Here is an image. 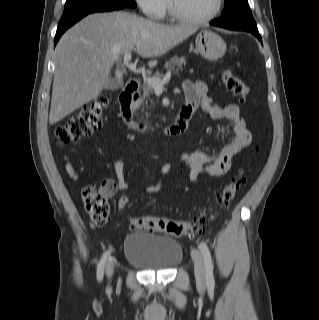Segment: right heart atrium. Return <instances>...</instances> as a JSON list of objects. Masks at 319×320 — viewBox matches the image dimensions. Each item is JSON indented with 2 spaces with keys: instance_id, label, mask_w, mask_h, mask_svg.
Listing matches in <instances>:
<instances>
[{
  "instance_id": "1",
  "label": "right heart atrium",
  "mask_w": 319,
  "mask_h": 320,
  "mask_svg": "<svg viewBox=\"0 0 319 320\" xmlns=\"http://www.w3.org/2000/svg\"><path fill=\"white\" fill-rule=\"evenodd\" d=\"M143 13L151 18H162L168 9V0H135Z\"/></svg>"
}]
</instances>
